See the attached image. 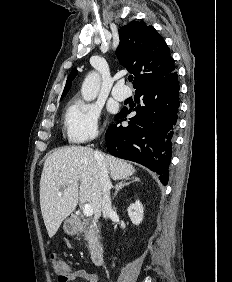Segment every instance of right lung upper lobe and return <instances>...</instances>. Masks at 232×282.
I'll return each instance as SVG.
<instances>
[{
	"label": "right lung upper lobe",
	"mask_w": 232,
	"mask_h": 282,
	"mask_svg": "<svg viewBox=\"0 0 232 282\" xmlns=\"http://www.w3.org/2000/svg\"><path fill=\"white\" fill-rule=\"evenodd\" d=\"M119 37L120 44L116 49V55L121 65L135 75L134 88L174 71L175 66L170 50L153 26L132 21L119 29ZM76 75L77 70H72L61 98L69 91L71 81Z\"/></svg>",
	"instance_id": "obj_1"
}]
</instances>
